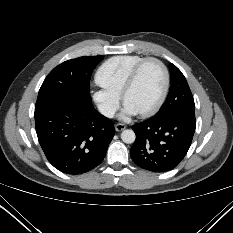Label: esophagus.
<instances>
[{
    "instance_id": "esophagus-1",
    "label": "esophagus",
    "mask_w": 233,
    "mask_h": 233,
    "mask_svg": "<svg viewBox=\"0 0 233 233\" xmlns=\"http://www.w3.org/2000/svg\"><path fill=\"white\" fill-rule=\"evenodd\" d=\"M125 128H126V125L121 124V123L115 125V130L117 132H120V131L124 130Z\"/></svg>"
}]
</instances>
